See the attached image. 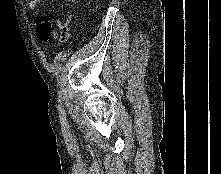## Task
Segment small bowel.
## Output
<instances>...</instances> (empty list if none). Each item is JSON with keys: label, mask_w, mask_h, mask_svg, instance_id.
Returning <instances> with one entry per match:
<instances>
[{"label": "small bowel", "mask_w": 221, "mask_h": 174, "mask_svg": "<svg viewBox=\"0 0 221 174\" xmlns=\"http://www.w3.org/2000/svg\"><path fill=\"white\" fill-rule=\"evenodd\" d=\"M39 0H27V8L30 12L35 13L37 11ZM37 36L45 42L50 37L58 39L61 42H65L70 35V16L64 21L57 20L56 28H54L48 18L39 16L36 18Z\"/></svg>", "instance_id": "c3829d8e"}]
</instances>
